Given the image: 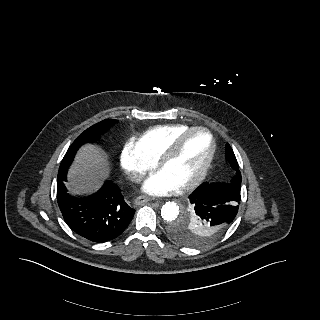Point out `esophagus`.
<instances>
[{
  "label": "esophagus",
  "mask_w": 320,
  "mask_h": 320,
  "mask_svg": "<svg viewBox=\"0 0 320 320\" xmlns=\"http://www.w3.org/2000/svg\"><path fill=\"white\" fill-rule=\"evenodd\" d=\"M151 199L149 198V197H147V196H139V197H137L136 199H135V204L136 205H142V204H144V203H147V202H149Z\"/></svg>",
  "instance_id": "34e87169"
}]
</instances>
